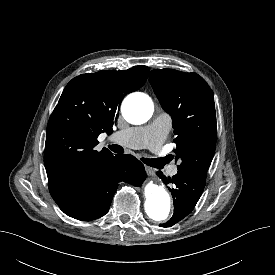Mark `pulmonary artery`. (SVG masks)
I'll return each instance as SVG.
<instances>
[{
  "instance_id": "1",
  "label": "pulmonary artery",
  "mask_w": 275,
  "mask_h": 275,
  "mask_svg": "<svg viewBox=\"0 0 275 275\" xmlns=\"http://www.w3.org/2000/svg\"><path fill=\"white\" fill-rule=\"evenodd\" d=\"M169 129L170 118L165 113H161L147 126L130 127L115 132L113 134V139L123 146L134 149H156L166 138ZM177 172L178 169L176 166L170 167V175H176Z\"/></svg>"
}]
</instances>
